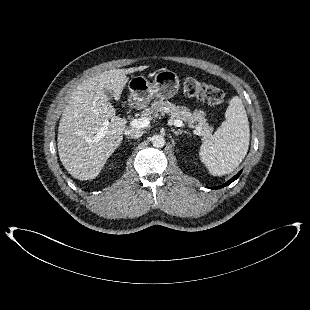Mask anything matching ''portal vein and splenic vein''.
Returning <instances> with one entry per match:
<instances>
[{
  "instance_id": "obj_1",
  "label": "portal vein and splenic vein",
  "mask_w": 310,
  "mask_h": 310,
  "mask_svg": "<svg viewBox=\"0 0 310 310\" xmlns=\"http://www.w3.org/2000/svg\"><path fill=\"white\" fill-rule=\"evenodd\" d=\"M131 126L135 127V128H144V127H147L149 124H150V119L149 118H138V119H133L131 122H130ZM174 125L176 127H182L184 126L183 122L180 121V120H175L174 121ZM106 130L107 128L106 127H102L100 129V131L98 132L97 134V137L96 139H101L105 133H106ZM197 135H200L199 132L196 133Z\"/></svg>"
}]
</instances>
